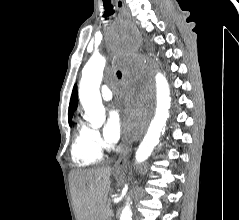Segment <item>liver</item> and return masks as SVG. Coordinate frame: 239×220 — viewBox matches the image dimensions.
Instances as JSON below:
<instances>
[{
	"instance_id": "liver-1",
	"label": "liver",
	"mask_w": 239,
	"mask_h": 220,
	"mask_svg": "<svg viewBox=\"0 0 239 220\" xmlns=\"http://www.w3.org/2000/svg\"><path fill=\"white\" fill-rule=\"evenodd\" d=\"M110 167L70 172L72 199L77 220H102L110 189Z\"/></svg>"
}]
</instances>
